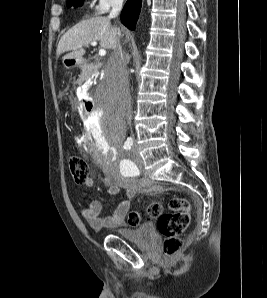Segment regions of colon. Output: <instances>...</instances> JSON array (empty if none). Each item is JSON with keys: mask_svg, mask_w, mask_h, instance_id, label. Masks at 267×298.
Masks as SVG:
<instances>
[{"mask_svg": "<svg viewBox=\"0 0 267 298\" xmlns=\"http://www.w3.org/2000/svg\"><path fill=\"white\" fill-rule=\"evenodd\" d=\"M68 167L74 181L79 185H85L89 177V166L87 162L77 156L69 155L67 158ZM144 214L157 220V228L164 237L163 252L167 257L177 254L182 246V235L186 232L190 224V203L185 198H172L165 206L161 202H152ZM143 214L140 211H130L126 220L129 226L140 225Z\"/></svg>", "mask_w": 267, "mask_h": 298, "instance_id": "obj_1", "label": "colon"}]
</instances>
